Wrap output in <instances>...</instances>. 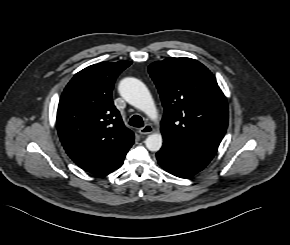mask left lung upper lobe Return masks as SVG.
<instances>
[{"instance_id":"1","label":"left lung upper lobe","mask_w":290,"mask_h":245,"mask_svg":"<svg viewBox=\"0 0 290 245\" xmlns=\"http://www.w3.org/2000/svg\"><path fill=\"white\" fill-rule=\"evenodd\" d=\"M148 70L164 106V141L213 158L228 125L227 101L215 76L191 58H166Z\"/></svg>"}]
</instances>
